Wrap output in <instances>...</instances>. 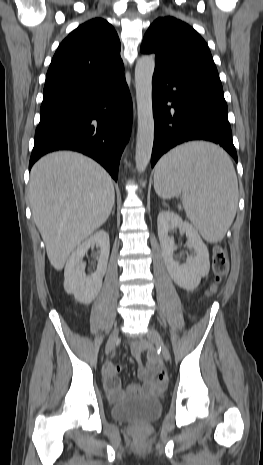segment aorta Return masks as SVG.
Segmentation results:
<instances>
[{"mask_svg": "<svg viewBox=\"0 0 263 465\" xmlns=\"http://www.w3.org/2000/svg\"><path fill=\"white\" fill-rule=\"evenodd\" d=\"M155 69L153 55L142 56L135 67V88L138 114L135 163L138 172L145 171L152 154L154 118L152 105V77Z\"/></svg>", "mask_w": 263, "mask_h": 465, "instance_id": "obj_1", "label": "aorta"}]
</instances>
